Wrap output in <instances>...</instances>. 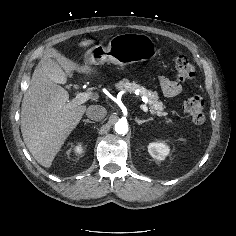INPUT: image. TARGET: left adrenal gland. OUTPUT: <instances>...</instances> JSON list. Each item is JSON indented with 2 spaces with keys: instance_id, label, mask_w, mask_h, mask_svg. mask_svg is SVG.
<instances>
[{
  "instance_id": "obj_1",
  "label": "left adrenal gland",
  "mask_w": 236,
  "mask_h": 236,
  "mask_svg": "<svg viewBox=\"0 0 236 236\" xmlns=\"http://www.w3.org/2000/svg\"><path fill=\"white\" fill-rule=\"evenodd\" d=\"M151 120H152V118H148L146 120H140L137 117L135 118V121L137 122L138 125H141V124L146 123V122L151 121Z\"/></svg>"
}]
</instances>
